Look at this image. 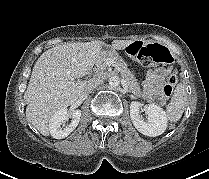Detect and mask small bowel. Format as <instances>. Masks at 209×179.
<instances>
[{
	"instance_id": "small-bowel-1",
	"label": "small bowel",
	"mask_w": 209,
	"mask_h": 179,
	"mask_svg": "<svg viewBox=\"0 0 209 179\" xmlns=\"http://www.w3.org/2000/svg\"><path fill=\"white\" fill-rule=\"evenodd\" d=\"M169 72V68H156L147 71L143 90L144 98L155 104L164 102L165 95L162 86Z\"/></svg>"
}]
</instances>
